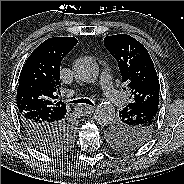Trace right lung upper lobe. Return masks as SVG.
Listing matches in <instances>:
<instances>
[{"label":"right lung upper lobe","mask_w":184,"mask_h":184,"mask_svg":"<svg viewBox=\"0 0 184 184\" xmlns=\"http://www.w3.org/2000/svg\"><path fill=\"white\" fill-rule=\"evenodd\" d=\"M74 37L45 40L28 57L19 78L17 106L20 114L42 112L48 116L66 115V105L59 101L60 65L64 56L77 44Z\"/></svg>","instance_id":"1"}]
</instances>
